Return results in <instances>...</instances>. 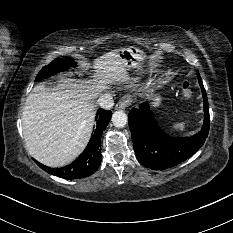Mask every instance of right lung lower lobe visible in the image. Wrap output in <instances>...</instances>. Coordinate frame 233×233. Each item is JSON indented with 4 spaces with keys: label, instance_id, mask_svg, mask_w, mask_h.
<instances>
[{
    "label": "right lung lower lobe",
    "instance_id": "obj_1",
    "mask_svg": "<svg viewBox=\"0 0 233 233\" xmlns=\"http://www.w3.org/2000/svg\"><path fill=\"white\" fill-rule=\"evenodd\" d=\"M112 112L109 110L99 109L97 112L96 130L90 139L83 153L70 165L59 169H52L36 160V164L50 174L66 178L79 179L92 175L101 163L100 140L103 130L108 125Z\"/></svg>",
    "mask_w": 233,
    "mask_h": 233
}]
</instances>
